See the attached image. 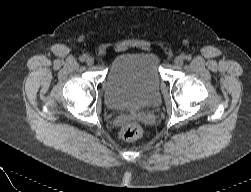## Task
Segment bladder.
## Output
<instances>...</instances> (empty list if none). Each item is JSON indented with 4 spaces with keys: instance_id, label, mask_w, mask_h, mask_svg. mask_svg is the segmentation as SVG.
Here are the masks:
<instances>
[{
    "instance_id": "obj_1",
    "label": "bladder",
    "mask_w": 251,
    "mask_h": 192,
    "mask_svg": "<svg viewBox=\"0 0 251 192\" xmlns=\"http://www.w3.org/2000/svg\"><path fill=\"white\" fill-rule=\"evenodd\" d=\"M160 59L153 52H126L110 65L105 81V102L114 110H138L159 100Z\"/></svg>"
}]
</instances>
